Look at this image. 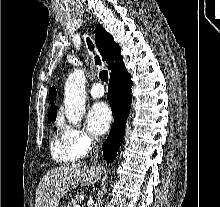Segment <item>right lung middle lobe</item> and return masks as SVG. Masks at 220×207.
<instances>
[{"mask_svg":"<svg viewBox=\"0 0 220 207\" xmlns=\"http://www.w3.org/2000/svg\"><path fill=\"white\" fill-rule=\"evenodd\" d=\"M55 120H51L50 122H54Z\"/></svg>","mask_w":220,"mask_h":207,"instance_id":"right-lung-middle-lobe-1","label":"right lung middle lobe"}]
</instances>
